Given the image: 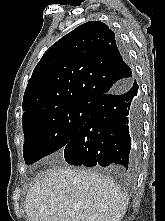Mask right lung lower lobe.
Wrapping results in <instances>:
<instances>
[{
  "mask_svg": "<svg viewBox=\"0 0 165 221\" xmlns=\"http://www.w3.org/2000/svg\"><path fill=\"white\" fill-rule=\"evenodd\" d=\"M134 78L91 103L90 116L63 148L72 165H121L135 169L140 148L142 110Z\"/></svg>",
  "mask_w": 165,
  "mask_h": 221,
  "instance_id": "right-lung-lower-lobe-1",
  "label": "right lung lower lobe"
}]
</instances>
